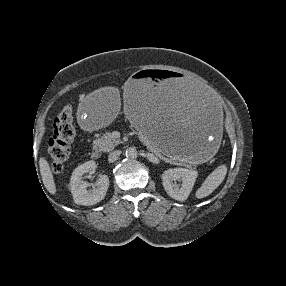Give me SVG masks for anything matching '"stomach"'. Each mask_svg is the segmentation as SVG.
<instances>
[{
  "instance_id": "stomach-1",
  "label": "stomach",
  "mask_w": 286,
  "mask_h": 286,
  "mask_svg": "<svg viewBox=\"0 0 286 286\" xmlns=\"http://www.w3.org/2000/svg\"><path fill=\"white\" fill-rule=\"evenodd\" d=\"M121 108L119 94L100 87L78 102L75 116L82 127L100 130ZM124 113L153 148L178 160L207 161L221 141L222 101L210 85L184 73L139 69L126 84Z\"/></svg>"
}]
</instances>
